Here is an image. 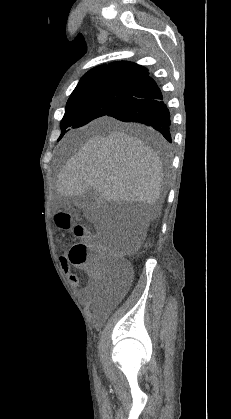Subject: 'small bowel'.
<instances>
[{"label":"small bowel","mask_w":231,"mask_h":419,"mask_svg":"<svg viewBox=\"0 0 231 419\" xmlns=\"http://www.w3.org/2000/svg\"><path fill=\"white\" fill-rule=\"evenodd\" d=\"M60 261H61V266H62L63 269H65V270L70 269V264L68 263L66 258L62 257ZM83 269L84 270H89V266L87 265ZM69 281L73 285H79L81 283V278L77 274L70 273L69 274Z\"/></svg>","instance_id":"obj_1"}]
</instances>
